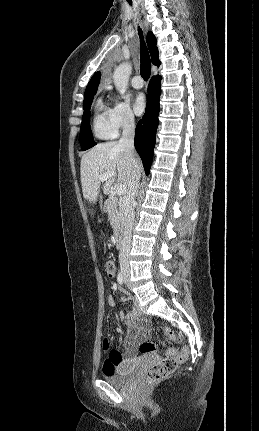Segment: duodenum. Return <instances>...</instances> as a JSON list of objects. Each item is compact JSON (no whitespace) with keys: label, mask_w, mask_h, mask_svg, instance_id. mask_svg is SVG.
<instances>
[{"label":"duodenum","mask_w":259,"mask_h":431,"mask_svg":"<svg viewBox=\"0 0 259 431\" xmlns=\"http://www.w3.org/2000/svg\"><path fill=\"white\" fill-rule=\"evenodd\" d=\"M110 207V201H106L104 204V210L108 211ZM121 245V234L119 232L116 233V246L120 248Z\"/></svg>","instance_id":"duodenum-1"}]
</instances>
